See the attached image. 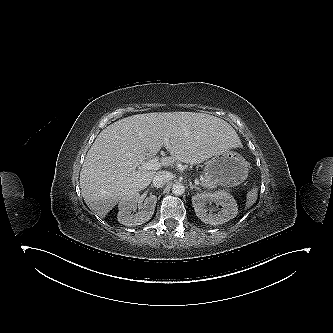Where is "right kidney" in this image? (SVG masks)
<instances>
[{"label": "right kidney", "instance_id": "obj_1", "mask_svg": "<svg viewBox=\"0 0 333 333\" xmlns=\"http://www.w3.org/2000/svg\"><path fill=\"white\" fill-rule=\"evenodd\" d=\"M138 199V193H131L119 202L117 219L121 224L131 227L141 225L151 219L154 214L157 197L151 195L146 198L144 203L138 205L139 210L136 212ZM134 212L136 213L134 214Z\"/></svg>", "mask_w": 333, "mask_h": 333}]
</instances>
